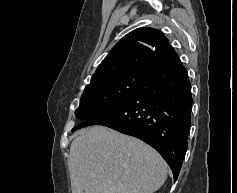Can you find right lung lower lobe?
I'll list each match as a JSON object with an SVG mask.
<instances>
[{"mask_svg":"<svg viewBox=\"0 0 237 193\" xmlns=\"http://www.w3.org/2000/svg\"><path fill=\"white\" fill-rule=\"evenodd\" d=\"M191 108L189 77L172 51L157 59L127 101L75 129L103 125L141 139L161 154L176 181L187 149Z\"/></svg>","mask_w":237,"mask_h":193,"instance_id":"98d812e1","label":"right lung lower lobe"}]
</instances>
